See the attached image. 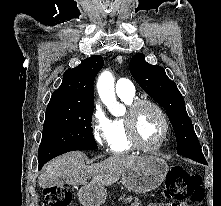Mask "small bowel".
<instances>
[{
	"mask_svg": "<svg viewBox=\"0 0 221 206\" xmlns=\"http://www.w3.org/2000/svg\"><path fill=\"white\" fill-rule=\"evenodd\" d=\"M148 206H186L185 204H176V203H155Z\"/></svg>",
	"mask_w": 221,
	"mask_h": 206,
	"instance_id": "obj_1",
	"label": "small bowel"
}]
</instances>
